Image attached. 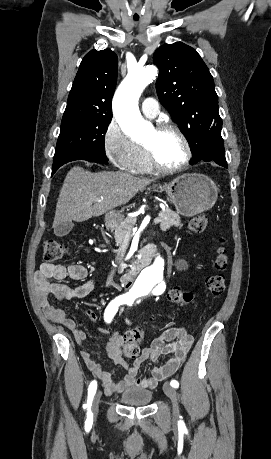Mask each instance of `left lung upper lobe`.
<instances>
[{
  "label": "left lung upper lobe",
  "mask_w": 271,
  "mask_h": 459,
  "mask_svg": "<svg viewBox=\"0 0 271 459\" xmlns=\"http://www.w3.org/2000/svg\"><path fill=\"white\" fill-rule=\"evenodd\" d=\"M153 62L160 71L159 100L188 140L191 162H198L209 150L210 138L222 130L212 75L195 49L182 42L159 47Z\"/></svg>",
  "instance_id": "1"
}]
</instances>
